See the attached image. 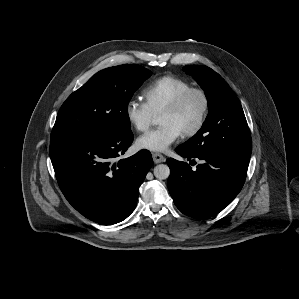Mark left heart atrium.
Masks as SVG:
<instances>
[{"mask_svg":"<svg viewBox=\"0 0 299 299\" xmlns=\"http://www.w3.org/2000/svg\"><path fill=\"white\" fill-rule=\"evenodd\" d=\"M182 132L174 125H163L153 129L136 140L139 149L163 152L181 136Z\"/></svg>","mask_w":299,"mask_h":299,"instance_id":"obj_1","label":"left heart atrium"}]
</instances>
